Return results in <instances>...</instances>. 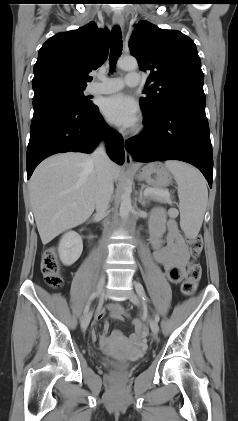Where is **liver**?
I'll return each mask as SVG.
<instances>
[{
    "label": "liver",
    "mask_w": 238,
    "mask_h": 421,
    "mask_svg": "<svg viewBox=\"0 0 238 421\" xmlns=\"http://www.w3.org/2000/svg\"><path fill=\"white\" fill-rule=\"evenodd\" d=\"M110 168L113 180H118L120 167L110 161ZM29 188L37 229L46 245L92 215L97 192L95 165L84 153L51 156L35 169Z\"/></svg>",
    "instance_id": "6515ba94"
}]
</instances>
